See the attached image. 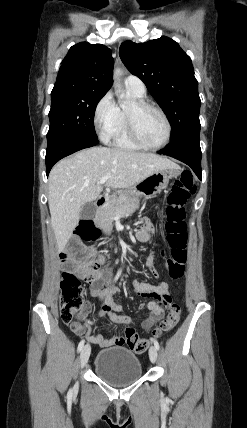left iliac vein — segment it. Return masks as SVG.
Listing matches in <instances>:
<instances>
[{
  "label": "left iliac vein",
  "mask_w": 247,
  "mask_h": 428,
  "mask_svg": "<svg viewBox=\"0 0 247 428\" xmlns=\"http://www.w3.org/2000/svg\"><path fill=\"white\" fill-rule=\"evenodd\" d=\"M149 357L152 363H155L158 357L157 349L155 346H151L149 349Z\"/></svg>",
  "instance_id": "left-iliac-vein-1"
}]
</instances>
